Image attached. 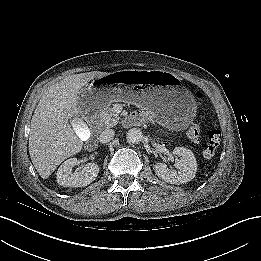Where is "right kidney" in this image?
I'll return each mask as SVG.
<instances>
[{
    "label": "right kidney",
    "mask_w": 261,
    "mask_h": 261,
    "mask_svg": "<svg viewBox=\"0 0 261 261\" xmlns=\"http://www.w3.org/2000/svg\"><path fill=\"white\" fill-rule=\"evenodd\" d=\"M82 127L86 124L80 122ZM77 158H70L62 163L56 175L59 185L64 187H84L93 182L99 173V166L87 163L82 170L72 173V168L77 164Z\"/></svg>",
    "instance_id": "obj_1"
}]
</instances>
